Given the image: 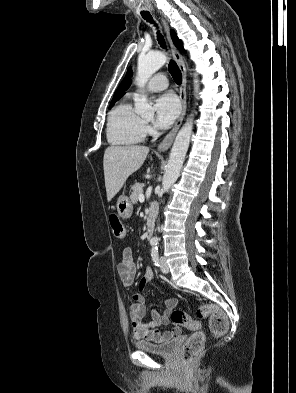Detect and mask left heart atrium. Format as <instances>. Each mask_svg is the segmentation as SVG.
I'll return each instance as SVG.
<instances>
[{
  "instance_id": "obj_1",
  "label": "left heart atrium",
  "mask_w": 296,
  "mask_h": 393,
  "mask_svg": "<svg viewBox=\"0 0 296 393\" xmlns=\"http://www.w3.org/2000/svg\"><path fill=\"white\" fill-rule=\"evenodd\" d=\"M155 112L156 125L160 128H168L180 112L177 98L171 93L160 96L155 102Z\"/></svg>"
}]
</instances>
